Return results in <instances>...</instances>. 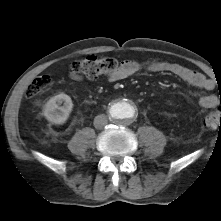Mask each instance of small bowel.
Masks as SVG:
<instances>
[{
	"instance_id": "small-bowel-1",
	"label": "small bowel",
	"mask_w": 221,
	"mask_h": 221,
	"mask_svg": "<svg viewBox=\"0 0 221 221\" xmlns=\"http://www.w3.org/2000/svg\"><path fill=\"white\" fill-rule=\"evenodd\" d=\"M142 68V65L134 60H127L122 63L120 68L110 76V81H118L123 80L131 75L135 74ZM147 68L150 71L154 72H167L173 74L184 82L202 90L209 91L214 88V83L211 79L207 78L203 74L191 70L187 67L177 65V64H169L163 62H152L149 63ZM70 78L74 81H80L82 78L76 74L75 72H70ZM218 101L216 96L211 94L201 93L199 95V105L202 108L210 109L214 108L217 105Z\"/></svg>"
}]
</instances>
